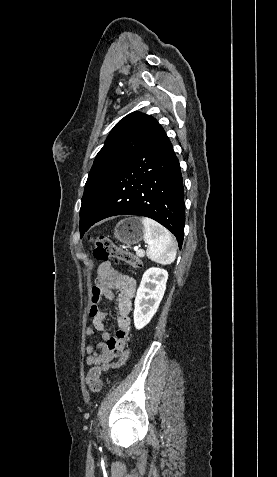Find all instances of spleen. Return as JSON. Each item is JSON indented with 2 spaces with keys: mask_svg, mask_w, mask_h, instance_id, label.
I'll return each mask as SVG.
<instances>
[{
  "mask_svg": "<svg viewBox=\"0 0 277 477\" xmlns=\"http://www.w3.org/2000/svg\"><path fill=\"white\" fill-rule=\"evenodd\" d=\"M144 242L148 245L147 257L157 263L166 265L175 260L177 246L170 232L150 218H142Z\"/></svg>",
  "mask_w": 277,
  "mask_h": 477,
  "instance_id": "1",
  "label": "spleen"
}]
</instances>
